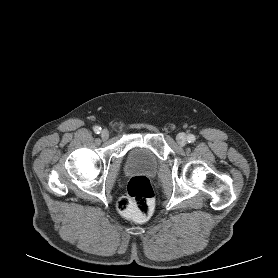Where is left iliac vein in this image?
I'll return each mask as SVG.
<instances>
[{
    "mask_svg": "<svg viewBox=\"0 0 278 278\" xmlns=\"http://www.w3.org/2000/svg\"><path fill=\"white\" fill-rule=\"evenodd\" d=\"M179 145L184 146L187 142L186 135L184 133H179L176 138Z\"/></svg>",
    "mask_w": 278,
    "mask_h": 278,
    "instance_id": "left-iliac-vein-1",
    "label": "left iliac vein"
}]
</instances>
